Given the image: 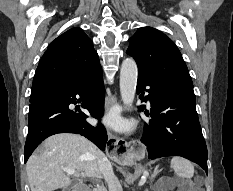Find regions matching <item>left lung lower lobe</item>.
Here are the masks:
<instances>
[{"label":"left lung lower lobe","mask_w":233,"mask_h":191,"mask_svg":"<svg viewBox=\"0 0 233 191\" xmlns=\"http://www.w3.org/2000/svg\"><path fill=\"white\" fill-rule=\"evenodd\" d=\"M149 95L145 98L151 103L149 124L141 141L146 145L149 159L165 156H182L198 165L206 173L207 147L202 135L198 114L195 108V95L192 90L166 80L157 79L138 71L137 94ZM141 111L145 109L142 105Z\"/></svg>","instance_id":"0a47b994"}]
</instances>
